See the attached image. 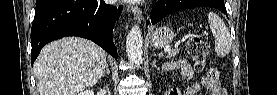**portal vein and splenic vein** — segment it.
I'll return each instance as SVG.
<instances>
[{
	"label": "portal vein and splenic vein",
	"instance_id": "18ae733b",
	"mask_svg": "<svg viewBox=\"0 0 277 95\" xmlns=\"http://www.w3.org/2000/svg\"><path fill=\"white\" fill-rule=\"evenodd\" d=\"M169 50H170V46H167V47L164 49L165 52H167V51H169Z\"/></svg>",
	"mask_w": 277,
	"mask_h": 95
}]
</instances>
